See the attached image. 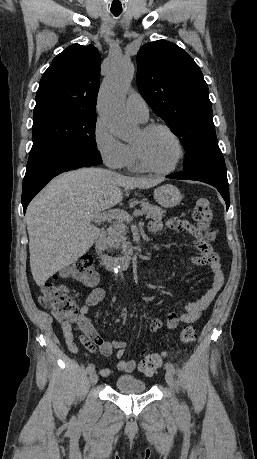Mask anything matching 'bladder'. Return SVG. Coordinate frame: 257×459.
Segmentation results:
<instances>
[{
	"label": "bladder",
	"instance_id": "1",
	"mask_svg": "<svg viewBox=\"0 0 257 459\" xmlns=\"http://www.w3.org/2000/svg\"><path fill=\"white\" fill-rule=\"evenodd\" d=\"M114 389L124 394H142L147 391V384L132 375H120L114 382Z\"/></svg>",
	"mask_w": 257,
	"mask_h": 459
}]
</instances>
